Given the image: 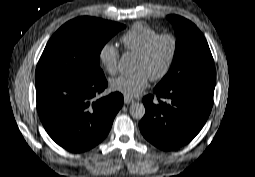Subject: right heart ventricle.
Instances as JSON below:
<instances>
[{
	"mask_svg": "<svg viewBox=\"0 0 255 177\" xmlns=\"http://www.w3.org/2000/svg\"><path fill=\"white\" fill-rule=\"evenodd\" d=\"M158 34L160 32L156 28L137 22L121 36V42L127 51L138 55L147 43Z\"/></svg>",
	"mask_w": 255,
	"mask_h": 177,
	"instance_id": "1",
	"label": "right heart ventricle"
}]
</instances>
